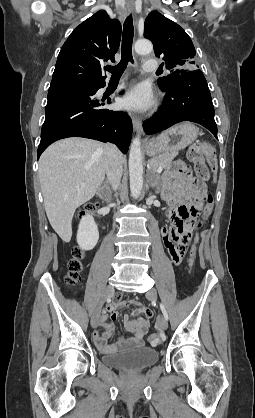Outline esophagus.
Wrapping results in <instances>:
<instances>
[{
    "label": "esophagus",
    "mask_w": 255,
    "mask_h": 418,
    "mask_svg": "<svg viewBox=\"0 0 255 418\" xmlns=\"http://www.w3.org/2000/svg\"><path fill=\"white\" fill-rule=\"evenodd\" d=\"M134 3L133 0H128L127 3V8L129 10L133 9ZM132 124H133V128L136 132L140 133L142 130V122L141 119L136 117V116H132Z\"/></svg>",
    "instance_id": "1"
}]
</instances>
